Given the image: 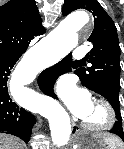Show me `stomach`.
I'll return each instance as SVG.
<instances>
[{
	"mask_svg": "<svg viewBox=\"0 0 124 149\" xmlns=\"http://www.w3.org/2000/svg\"><path fill=\"white\" fill-rule=\"evenodd\" d=\"M109 141H114L111 135H94L85 131H78L75 134V143L79 149H104Z\"/></svg>",
	"mask_w": 124,
	"mask_h": 149,
	"instance_id": "stomach-1",
	"label": "stomach"
}]
</instances>
